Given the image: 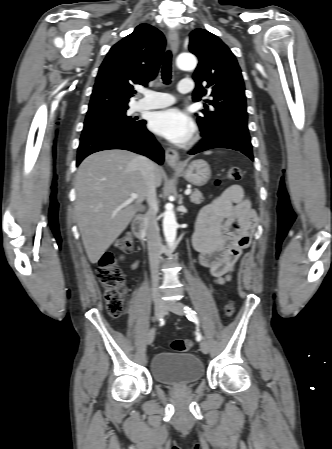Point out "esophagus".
Segmentation results:
<instances>
[{"label": "esophagus", "mask_w": 332, "mask_h": 449, "mask_svg": "<svg viewBox=\"0 0 332 449\" xmlns=\"http://www.w3.org/2000/svg\"><path fill=\"white\" fill-rule=\"evenodd\" d=\"M168 43L171 51L175 55L179 46V36L176 30H170L168 32ZM165 159L169 166L171 167H180L181 162L179 159L178 152L173 148H167L165 152Z\"/></svg>", "instance_id": "obj_1"}]
</instances>
